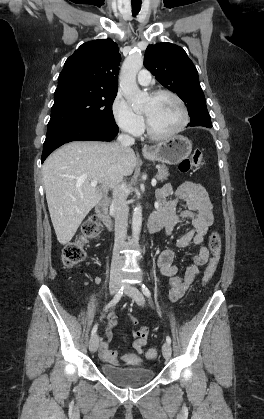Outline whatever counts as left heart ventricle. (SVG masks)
<instances>
[{
  "instance_id": "obj_1",
  "label": "left heart ventricle",
  "mask_w": 264,
  "mask_h": 419,
  "mask_svg": "<svg viewBox=\"0 0 264 419\" xmlns=\"http://www.w3.org/2000/svg\"><path fill=\"white\" fill-rule=\"evenodd\" d=\"M151 128L160 134L174 130L181 121V110L170 96L149 97L142 109Z\"/></svg>"
}]
</instances>
